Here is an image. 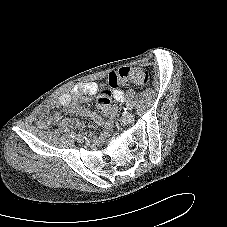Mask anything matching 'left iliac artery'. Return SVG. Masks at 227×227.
I'll return each instance as SVG.
<instances>
[{"instance_id": "obj_1", "label": "left iliac artery", "mask_w": 227, "mask_h": 227, "mask_svg": "<svg viewBox=\"0 0 227 227\" xmlns=\"http://www.w3.org/2000/svg\"><path fill=\"white\" fill-rule=\"evenodd\" d=\"M133 109V106L131 104H127L125 110L130 111Z\"/></svg>"}]
</instances>
